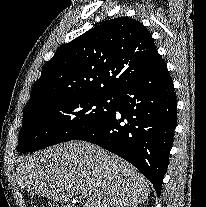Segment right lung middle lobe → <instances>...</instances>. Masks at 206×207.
Returning a JSON list of instances; mask_svg holds the SVG:
<instances>
[{
    "mask_svg": "<svg viewBox=\"0 0 206 207\" xmlns=\"http://www.w3.org/2000/svg\"><path fill=\"white\" fill-rule=\"evenodd\" d=\"M116 100V95L74 97L44 102L25 110L17 150L34 152L77 139L113 114Z\"/></svg>",
    "mask_w": 206,
    "mask_h": 207,
    "instance_id": "right-lung-middle-lobe-1",
    "label": "right lung middle lobe"
}]
</instances>
